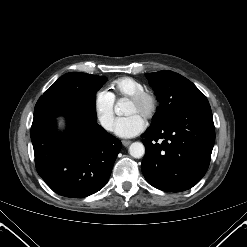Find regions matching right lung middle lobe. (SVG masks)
Segmentation results:
<instances>
[{"mask_svg": "<svg viewBox=\"0 0 247 247\" xmlns=\"http://www.w3.org/2000/svg\"><path fill=\"white\" fill-rule=\"evenodd\" d=\"M104 76L71 72L61 76L44 94H66L74 96H91L106 82Z\"/></svg>", "mask_w": 247, "mask_h": 247, "instance_id": "obj_1", "label": "right lung middle lobe"}]
</instances>
